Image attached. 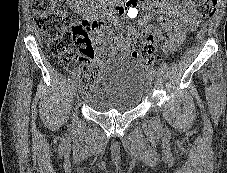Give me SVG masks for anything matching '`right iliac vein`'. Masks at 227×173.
<instances>
[{
	"label": "right iliac vein",
	"mask_w": 227,
	"mask_h": 173,
	"mask_svg": "<svg viewBox=\"0 0 227 173\" xmlns=\"http://www.w3.org/2000/svg\"><path fill=\"white\" fill-rule=\"evenodd\" d=\"M76 88H77V80H74L72 83V93L73 94L76 93Z\"/></svg>",
	"instance_id": "right-iliac-vein-1"
}]
</instances>
